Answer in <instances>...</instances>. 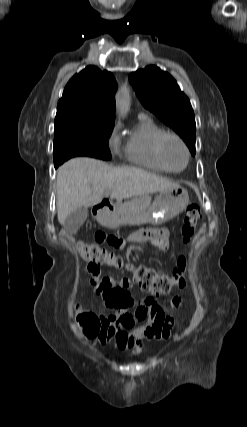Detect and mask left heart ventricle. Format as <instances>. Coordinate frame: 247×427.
<instances>
[{"label": "left heart ventricle", "instance_id": "obj_1", "mask_svg": "<svg viewBox=\"0 0 247 427\" xmlns=\"http://www.w3.org/2000/svg\"><path fill=\"white\" fill-rule=\"evenodd\" d=\"M165 155L169 164L176 169L184 166L186 155L182 146L175 140H168L165 145Z\"/></svg>", "mask_w": 247, "mask_h": 427}]
</instances>
